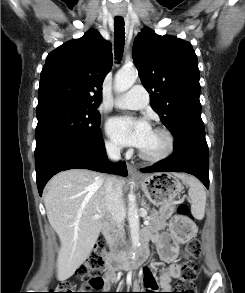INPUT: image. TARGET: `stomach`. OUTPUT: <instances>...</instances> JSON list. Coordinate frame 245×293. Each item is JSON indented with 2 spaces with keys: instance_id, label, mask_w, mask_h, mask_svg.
Returning a JSON list of instances; mask_svg holds the SVG:
<instances>
[{
  "instance_id": "1",
  "label": "stomach",
  "mask_w": 245,
  "mask_h": 293,
  "mask_svg": "<svg viewBox=\"0 0 245 293\" xmlns=\"http://www.w3.org/2000/svg\"><path fill=\"white\" fill-rule=\"evenodd\" d=\"M141 189L148 200L159 207V215L164 219H169L175 212L176 201L180 197L183 186L177 176L172 173L158 172L154 174L142 175L137 179ZM173 231V228H171ZM195 233L191 224L189 230L182 232L178 237L181 240H189Z\"/></svg>"
}]
</instances>
